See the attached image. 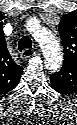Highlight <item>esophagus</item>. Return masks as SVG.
Returning <instances> with one entry per match:
<instances>
[{
    "label": "esophagus",
    "instance_id": "34e87169",
    "mask_svg": "<svg viewBox=\"0 0 77 125\" xmlns=\"http://www.w3.org/2000/svg\"><path fill=\"white\" fill-rule=\"evenodd\" d=\"M35 55V51L30 48H26L21 52V57L24 59L29 58L31 56Z\"/></svg>",
    "mask_w": 77,
    "mask_h": 125
}]
</instances>
